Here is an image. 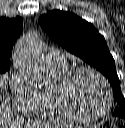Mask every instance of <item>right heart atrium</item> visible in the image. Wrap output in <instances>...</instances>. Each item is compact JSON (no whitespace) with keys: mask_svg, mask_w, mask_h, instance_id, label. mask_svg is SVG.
<instances>
[{"mask_svg":"<svg viewBox=\"0 0 125 128\" xmlns=\"http://www.w3.org/2000/svg\"><path fill=\"white\" fill-rule=\"evenodd\" d=\"M12 104L22 111L31 109L38 91L29 78L21 71L13 70L9 74Z\"/></svg>","mask_w":125,"mask_h":128,"instance_id":"obj_1","label":"right heart atrium"}]
</instances>
